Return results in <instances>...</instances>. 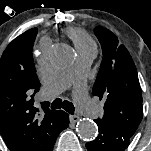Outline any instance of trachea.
I'll return each instance as SVG.
<instances>
[{
	"label": "trachea",
	"instance_id": "3493384b",
	"mask_svg": "<svg viewBox=\"0 0 151 151\" xmlns=\"http://www.w3.org/2000/svg\"><path fill=\"white\" fill-rule=\"evenodd\" d=\"M63 108L65 111H67L69 114H74L75 108L74 105L67 101L62 99H55L51 104V109H60Z\"/></svg>",
	"mask_w": 151,
	"mask_h": 151
}]
</instances>
